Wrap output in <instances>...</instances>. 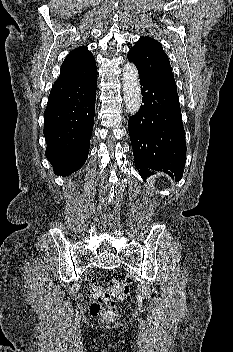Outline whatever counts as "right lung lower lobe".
<instances>
[{
    "mask_svg": "<svg viewBox=\"0 0 233 352\" xmlns=\"http://www.w3.org/2000/svg\"><path fill=\"white\" fill-rule=\"evenodd\" d=\"M97 68L64 83H54L44 111L46 157L56 175H71L88 157L94 123Z\"/></svg>",
    "mask_w": 233,
    "mask_h": 352,
    "instance_id": "98d812e1",
    "label": "right lung lower lobe"
}]
</instances>
